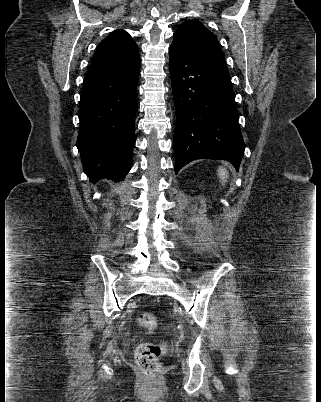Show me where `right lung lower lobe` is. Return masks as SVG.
Here are the masks:
<instances>
[{
  "instance_id": "right-lung-lower-lobe-1",
  "label": "right lung lower lobe",
  "mask_w": 321,
  "mask_h": 402,
  "mask_svg": "<svg viewBox=\"0 0 321 402\" xmlns=\"http://www.w3.org/2000/svg\"><path fill=\"white\" fill-rule=\"evenodd\" d=\"M139 69L89 71L84 78L77 148L91 182L120 181L131 169Z\"/></svg>"
}]
</instances>
